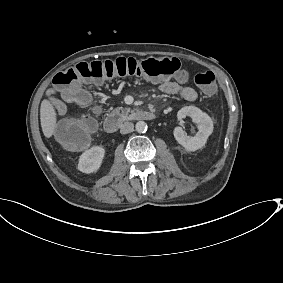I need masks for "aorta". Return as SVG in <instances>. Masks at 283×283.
I'll list each match as a JSON object with an SVG mask.
<instances>
[{
    "mask_svg": "<svg viewBox=\"0 0 283 283\" xmlns=\"http://www.w3.org/2000/svg\"><path fill=\"white\" fill-rule=\"evenodd\" d=\"M135 129L138 133H145L147 131V124L144 121H138Z\"/></svg>",
    "mask_w": 283,
    "mask_h": 283,
    "instance_id": "obj_1",
    "label": "aorta"
}]
</instances>
